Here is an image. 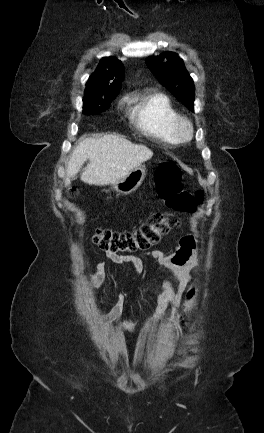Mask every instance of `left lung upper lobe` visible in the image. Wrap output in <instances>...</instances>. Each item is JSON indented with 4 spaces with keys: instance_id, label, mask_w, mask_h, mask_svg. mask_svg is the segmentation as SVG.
<instances>
[{
    "instance_id": "5c2ea615",
    "label": "left lung upper lobe",
    "mask_w": 264,
    "mask_h": 433,
    "mask_svg": "<svg viewBox=\"0 0 264 433\" xmlns=\"http://www.w3.org/2000/svg\"><path fill=\"white\" fill-rule=\"evenodd\" d=\"M146 64L166 89L190 110H194L193 80L177 54L165 52L158 57H148Z\"/></svg>"
}]
</instances>
